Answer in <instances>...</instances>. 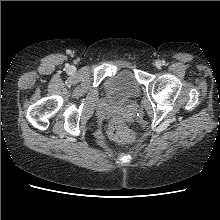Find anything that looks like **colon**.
Here are the masks:
<instances>
[{"instance_id":"obj_1","label":"colon","mask_w":220,"mask_h":220,"mask_svg":"<svg viewBox=\"0 0 220 220\" xmlns=\"http://www.w3.org/2000/svg\"><path fill=\"white\" fill-rule=\"evenodd\" d=\"M110 134L119 142L131 143L134 140L133 134L120 118H115L112 121L110 125Z\"/></svg>"}]
</instances>
